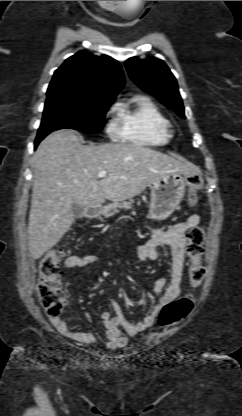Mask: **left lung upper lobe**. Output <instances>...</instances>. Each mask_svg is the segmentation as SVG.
Here are the masks:
<instances>
[{"mask_svg":"<svg viewBox=\"0 0 242 416\" xmlns=\"http://www.w3.org/2000/svg\"><path fill=\"white\" fill-rule=\"evenodd\" d=\"M125 65L130 78L143 91L155 96L179 116L185 117L176 79L162 60L155 57L146 60L132 57Z\"/></svg>","mask_w":242,"mask_h":416,"instance_id":"obj_1","label":"left lung upper lobe"}]
</instances>
